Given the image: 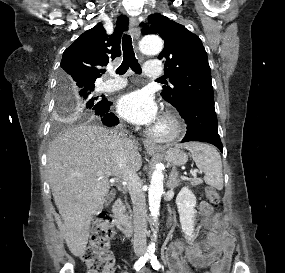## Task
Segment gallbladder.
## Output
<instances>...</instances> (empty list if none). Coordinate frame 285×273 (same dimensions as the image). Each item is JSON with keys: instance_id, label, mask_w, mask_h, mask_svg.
I'll return each mask as SVG.
<instances>
[{"instance_id": "bac80fb5", "label": "gallbladder", "mask_w": 285, "mask_h": 273, "mask_svg": "<svg viewBox=\"0 0 285 273\" xmlns=\"http://www.w3.org/2000/svg\"><path fill=\"white\" fill-rule=\"evenodd\" d=\"M112 197H113V193L111 192L110 194H108L105 198V202L106 203H109L111 200H112Z\"/></svg>"}]
</instances>
